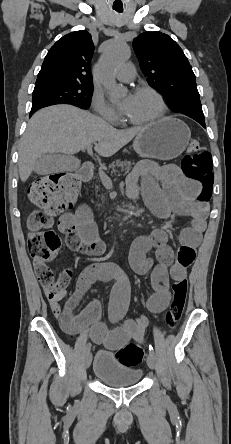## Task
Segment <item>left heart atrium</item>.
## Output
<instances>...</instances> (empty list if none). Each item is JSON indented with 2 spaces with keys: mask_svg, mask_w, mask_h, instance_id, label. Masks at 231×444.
<instances>
[{
  "mask_svg": "<svg viewBox=\"0 0 231 444\" xmlns=\"http://www.w3.org/2000/svg\"><path fill=\"white\" fill-rule=\"evenodd\" d=\"M129 104H130V98L127 99L126 101L123 102V104L121 105V110L126 113L128 108H129Z\"/></svg>",
  "mask_w": 231,
  "mask_h": 444,
  "instance_id": "39dd6f15",
  "label": "left heart atrium"
}]
</instances>
